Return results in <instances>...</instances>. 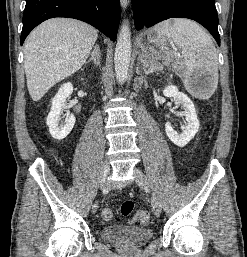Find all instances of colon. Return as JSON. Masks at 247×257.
Listing matches in <instances>:
<instances>
[{
	"instance_id": "obj_1",
	"label": "colon",
	"mask_w": 247,
	"mask_h": 257,
	"mask_svg": "<svg viewBox=\"0 0 247 257\" xmlns=\"http://www.w3.org/2000/svg\"><path fill=\"white\" fill-rule=\"evenodd\" d=\"M121 214L124 217H129L131 222H138L141 225H147L149 223V213L147 211H138L134 215V203L132 201H125L120 208ZM102 218L106 221H110L113 218V212L109 208H105L102 211Z\"/></svg>"
}]
</instances>
